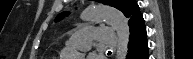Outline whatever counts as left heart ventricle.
<instances>
[{"instance_id":"left-heart-ventricle-1","label":"left heart ventricle","mask_w":193,"mask_h":59,"mask_svg":"<svg viewBox=\"0 0 193 59\" xmlns=\"http://www.w3.org/2000/svg\"><path fill=\"white\" fill-rule=\"evenodd\" d=\"M75 51L79 52L81 54L80 59H84V55L88 52L87 48H82V49H74Z\"/></svg>"}]
</instances>
